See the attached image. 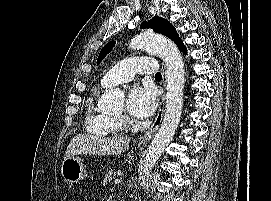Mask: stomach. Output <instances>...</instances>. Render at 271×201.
<instances>
[{"label":"stomach","instance_id":"0dacf381","mask_svg":"<svg viewBox=\"0 0 271 201\" xmlns=\"http://www.w3.org/2000/svg\"><path fill=\"white\" fill-rule=\"evenodd\" d=\"M138 148L143 149V146ZM61 174L66 182L78 183L87 176L86 166L79 156H72L63 161Z\"/></svg>","mask_w":271,"mask_h":201}]
</instances>
